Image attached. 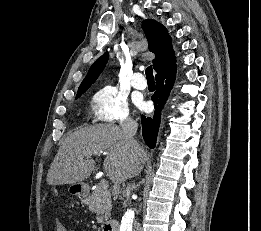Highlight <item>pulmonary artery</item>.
Returning <instances> with one entry per match:
<instances>
[{"instance_id": "pulmonary-artery-1", "label": "pulmonary artery", "mask_w": 261, "mask_h": 231, "mask_svg": "<svg viewBox=\"0 0 261 231\" xmlns=\"http://www.w3.org/2000/svg\"><path fill=\"white\" fill-rule=\"evenodd\" d=\"M131 84L134 88H136L138 90H144L147 87V82L144 79L142 73H140V72H135L133 74Z\"/></svg>"}]
</instances>
